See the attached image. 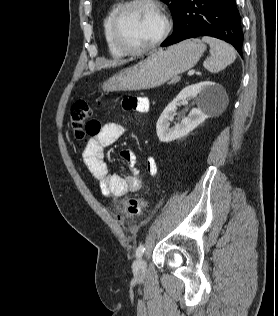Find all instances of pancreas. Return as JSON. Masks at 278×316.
I'll use <instances>...</instances> for the list:
<instances>
[{
	"label": "pancreas",
	"instance_id": "pancreas-1",
	"mask_svg": "<svg viewBox=\"0 0 278 316\" xmlns=\"http://www.w3.org/2000/svg\"><path fill=\"white\" fill-rule=\"evenodd\" d=\"M180 81V76H175L172 78V80L169 82L170 84H173V83H177Z\"/></svg>",
	"mask_w": 278,
	"mask_h": 316
}]
</instances>
